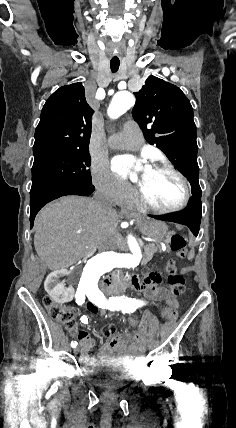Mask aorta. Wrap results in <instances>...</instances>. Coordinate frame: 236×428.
Instances as JSON below:
<instances>
[{"instance_id":"762f6f07","label":"aorta","mask_w":236,"mask_h":428,"mask_svg":"<svg viewBox=\"0 0 236 428\" xmlns=\"http://www.w3.org/2000/svg\"><path fill=\"white\" fill-rule=\"evenodd\" d=\"M135 104L134 96L127 91L116 93L108 108V115L117 119ZM130 252L118 253L107 251L90 258L82 270L79 287L85 295L100 293L98 282L100 277L114 268H134L142 258L141 247L131 234L127 237Z\"/></svg>"}]
</instances>
